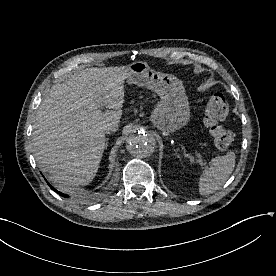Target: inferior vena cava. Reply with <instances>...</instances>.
<instances>
[{
    "mask_svg": "<svg viewBox=\"0 0 276 276\" xmlns=\"http://www.w3.org/2000/svg\"><path fill=\"white\" fill-rule=\"evenodd\" d=\"M118 123L117 122H109L103 126V130L105 133H111L115 132L118 129Z\"/></svg>",
    "mask_w": 276,
    "mask_h": 276,
    "instance_id": "1",
    "label": "inferior vena cava"
}]
</instances>
